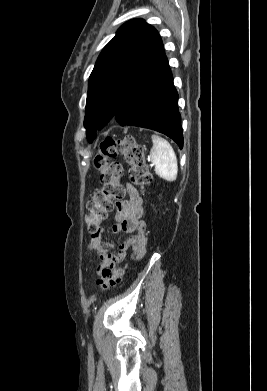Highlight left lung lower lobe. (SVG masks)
Wrapping results in <instances>:
<instances>
[{"mask_svg": "<svg viewBox=\"0 0 267 391\" xmlns=\"http://www.w3.org/2000/svg\"><path fill=\"white\" fill-rule=\"evenodd\" d=\"M178 93L165 54L144 74L128 93L117 113L121 126L152 129L171 138L183 147ZM92 136V137H91ZM94 135H87L93 141Z\"/></svg>", "mask_w": 267, "mask_h": 391, "instance_id": "1", "label": "left lung lower lobe"}]
</instances>
